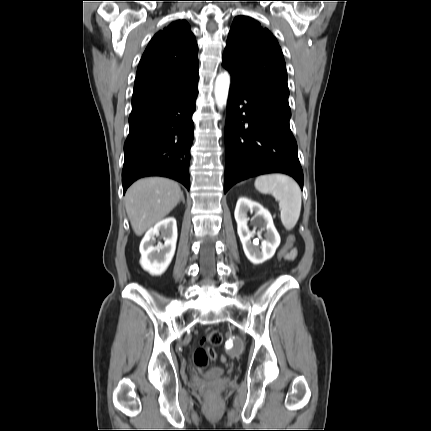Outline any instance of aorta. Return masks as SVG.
I'll return each instance as SVG.
<instances>
[{
	"label": "aorta",
	"mask_w": 431,
	"mask_h": 431,
	"mask_svg": "<svg viewBox=\"0 0 431 431\" xmlns=\"http://www.w3.org/2000/svg\"><path fill=\"white\" fill-rule=\"evenodd\" d=\"M230 86V75L227 72L217 76L215 81V98L218 107L222 108L226 105Z\"/></svg>",
	"instance_id": "aorta-1"
}]
</instances>
